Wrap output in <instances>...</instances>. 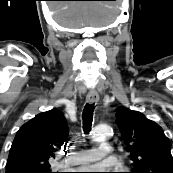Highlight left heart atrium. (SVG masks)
I'll return each instance as SVG.
<instances>
[{"mask_svg":"<svg viewBox=\"0 0 173 173\" xmlns=\"http://www.w3.org/2000/svg\"><path fill=\"white\" fill-rule=\"evenodd\" d=\"M84 173H108L110 167L106 166L105 164H98L89 167L81 168Z\"/></svg>","mask_w":173,"mask_h":173,"instance_id":"39dd6f15","label":"left heart atrium"}]
</instances>
